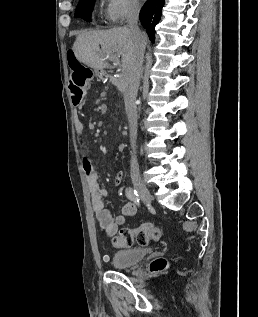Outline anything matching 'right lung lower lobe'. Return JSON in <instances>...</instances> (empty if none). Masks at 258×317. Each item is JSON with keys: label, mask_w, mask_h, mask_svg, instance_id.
<instances>
[{"label": "right lung lower lobe", "mask_w": 258, "mask_h": 317, "mask_svg": "<svg viewBox=\"0 0 258 317\" xmlns=\"http://www.w3.org/2000/svg\"><path fill=\"white\" fill-rule=\"evenodd\" d=\"M163 6L164 0H147L140 11V22L152 42L155 39V26L159 22Z\"/></svg>", "instance_id": "right-lung-lower-lobe-1"}]
</instances>
